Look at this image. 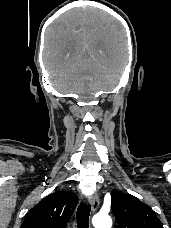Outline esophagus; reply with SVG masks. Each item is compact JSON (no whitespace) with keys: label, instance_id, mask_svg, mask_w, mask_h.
Segmentation results:
<instances>
[{"label":"esophagus","instance_id":"obj_1","mask_svg":"<svg viewBox=\"0 0 171 228\" xmlns=\"http://www.w3.org/2000/svg\"><path fill=\"white\" fill-rule=\"evenodd\" d=\"M89 202L91 204V209L93 212H95L97 210V208L99 207V198L98 196L92 195L91 197H89Z\"/></svg>","mask_w":171,"mask_h":228}]
</instances>
